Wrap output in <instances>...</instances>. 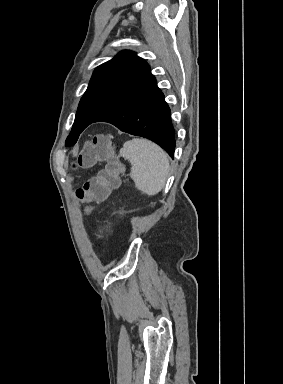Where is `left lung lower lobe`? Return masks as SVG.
Returning <instances> with one entry per match:
<instances>
[{
	"instance_id": "obj_1",
	"label": "left lung lower lobe",
	"mask_w": 283,
	"mask_h": 384,
	"mask_svg": "<svg viewBox=\"0 0 283 384\" xmlns=\"http://www.w3.org/2000/svg\"><path fill=\"white\" fill-rule=\"evenodd\" d=\"M170 116L164 94L158 88L155 77L151 75L117 105L91 123L109 122L121 131L148 138L159 144L173 158L175 132Z\"/></svg>"
}]
</instances>
